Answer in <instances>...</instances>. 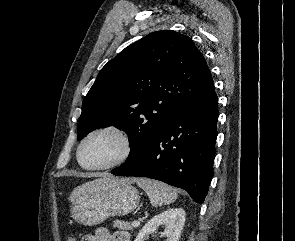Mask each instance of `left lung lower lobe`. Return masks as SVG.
I'll list each match as a JSON object with an SVG mask.
<instances>
[{"mask_svg":"<svg viewBox=\"0 0 295 241\" xmlns=\"http://www.w3.org/2000/svg\"><path fill=\"white\" fill-rule=\"evenodd\" d=\"M218 116L213 88L174 114L137 156L111 173L160 180L202 203L213 176Z\"/></svg>","mask_w":295,"mask_h":241,"instance_id":"1","label":"left lung lower lobe"}]
</instances>
